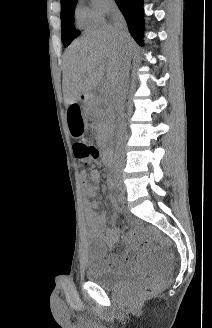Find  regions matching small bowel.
Masks as SVG:
<instances>
[{"label":"small bowel","instance_id":"small-bowel-1","mask_svg":"<svg viewBox=\"0 0 212 328\" xmlns=\"http://www.w3.org/2000/svg\"><path fill=\"white\" fill-rule=\"evenodd\" d=\"M80 179L84 200V218L92 244V257L102 262L107 269L113 272H125L131 269L134 252L146 253L151 249L149 239L154 231H146L139 226L134 227L125 237L126 251L105 257L106 248L113 246L118 241V229L107 228L106 214L97 213L99 202L96 198L97 187L95 184L100 182L101 175L98 170H92L90 173L82 171Z\"/></svg>","mask_w":212,"mask_h":328}]
</instances>
